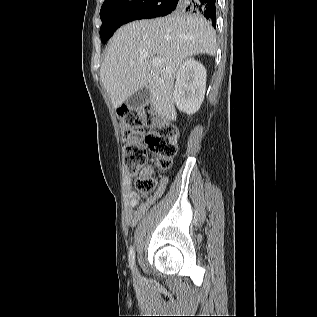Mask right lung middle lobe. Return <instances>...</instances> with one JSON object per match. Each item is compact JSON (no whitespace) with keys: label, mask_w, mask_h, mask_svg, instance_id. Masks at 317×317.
I'll return each mask as SVG.
<instances>
[{"label":"right lung middle lobe","mask_w":317,"mask_h":317,"mask_svg":"<svg viewBox=\"0 0 317 317\" xmlns=\"http://www.w3.org/2000/svg\"><path fill=\"white\" fill-rule=\"evenodd\" d=\"M172 0H105L100 18L103 43L123 24L137 19L155 18L183 10V3L171 5Z\"/></svg>","instance_id":"obj_1"}]
</instances>
